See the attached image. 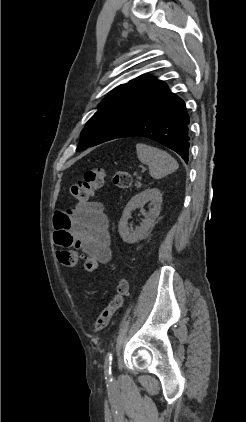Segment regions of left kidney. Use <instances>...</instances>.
Listing matches in <instances>:
<instances>
[{
	"mask_svg": "<svg viewBox=\"0 0 246 422\" xmlns=\"http://www.w3.org/2000/svg\"><path fill=\"white\" fill-rule=\"evenodd\" d=\"M150 202L153 206L149 212L142 210L145 217L140 227L134 231L128 227V220L131 217L133 210L137 208H143L145 203ZM162 204V194L159 189L152 188L146 189L139 194L135 195L127 203L124 208L122 217L118 225V231L124 242L133 244L139 240H142L147 235L148 230L154 225L155 219L159 216Z\"/></svg>",
	"mask_w": 246,
	"mask_h": 422,
	"instance_id": "obj_1",
	"label": "left kidney"
}]
</instances>
